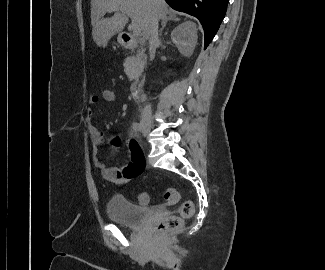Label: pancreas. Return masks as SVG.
<instances>
[{
	"mask_svg": "<svg viewBox=\"0 0 325 270\" xmlns=\"http://www.w3.org/2000/svg\"><path fill=\"white\" fill-rule=\"evenodd\" d=\"M146 55L143 50H139L136 56H130L125 60L124 71L130 81L139 77L146 65Z\"/></svg>",
	"mask_w": 325,
	"mask_h": 270,
	"instance_id": "cf45deb5",
	"label": "pancreas"
}]
</instances>
